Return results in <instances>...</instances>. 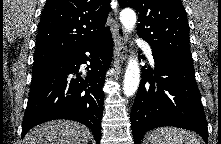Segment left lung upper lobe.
<instances>
[{"label":"left lung upper lobe","mask_w":221,"mask_h":144,"mask_svg":"<svg viewBox=\"0 0 221 144\" xmlns=\"http://www.w3.org/2000/svg\"><path fill=\"white\" fill-rule=\"evenodd\" d=\"M119 5L137 10L138 36L154 52L192 62L189 24L181 0H119Z\"/></svg>","instance_id":"5c2ea615"}]
</instances>
